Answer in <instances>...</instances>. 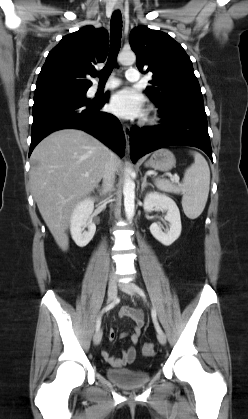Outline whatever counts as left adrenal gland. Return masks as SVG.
I'll list each match as a JSON object with an SVG mask.
<instances>
[{
	"instance_id": "left-adrenal-gland-1",
	"label": "left adrenal gland",
	"mask_w": 248,
	"mask_h": 419,
	"mask_svg": "<svg viewBox=\"0 0 248 419\" xmlns=\"http://www.w3.org/2000/svg\"><path fill=\"white\" fill-rule=\"evenodd\" d=\"M151 185L150 183L147 182V177L144 176L143 180H142V184H141V190L143 191L145 189L146 186Z\"/></svg>"
}]
</instances>
